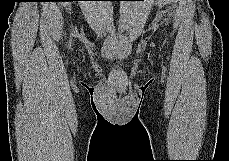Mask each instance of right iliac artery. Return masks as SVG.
Returning a JSON list of instances; mask_svg holds the SVG:
<instances>
[{
	"label": "right iliac artery",
	"instance_id": "obj_1",
	"mask_svg": "<svg viewBox=\"0 0 229 161\" xmlns=\"http://www.w3.org/2000/svg\"><path fill=\"white\" fill-rule=\"evenodd\" d=\"M71 43H72V38H70V40H69V47L71 46Z\"/></svg>",
	"mask_w": 229,
	"mask_h": 161
}]
</instances>
